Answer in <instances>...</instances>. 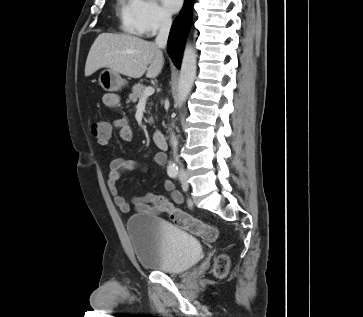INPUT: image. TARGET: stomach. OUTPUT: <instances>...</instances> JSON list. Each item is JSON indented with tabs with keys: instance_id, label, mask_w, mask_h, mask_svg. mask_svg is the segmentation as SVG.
<instances>
[{
	"instance_id": "1",
	"label": "stomach",
	"mask_w": 363,
	"mask_h": 317,
	"mask_svg": "<svg viewBox=\"0 0 363 317\" xmlns=\"http://www.w3.org/2000/svg\"><path fill=\"white\" fill-rule=\"evenodd\" d=\"M99 84L104 90L114 92L125 86L126 81L118 72L112 69H105L99 75Z\"/></svg>"
}]
</instances>
